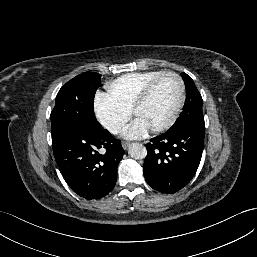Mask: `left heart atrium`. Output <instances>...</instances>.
<instances>
[{"instance_id": "left-heart-atrium-1", "label": "left heart atrium", "mask_w": 257, "mask_h": 257, "mask_svg": "<svg viewBox=\"0 0 257 257\" xmlns=\"http://www.w3.org/2000/svg\"><path fill=\"white\" fill-rule=\"evenodd\" d=\"M149 130L148 125L141 118H136L124 131V137L130 140L140 139L147 135Z\"/></svg>"}]
</instances>
